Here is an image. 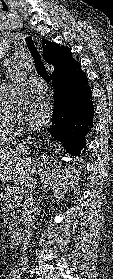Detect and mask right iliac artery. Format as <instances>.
Wrapping results in <instances>:
<instances>
[{
    "label": "right iliac artery",
    "instance_id": "1",
    "mask_svg": "<svg viewBox=\"0 0 113 279\" xmlns=\"http://www.w3.org/2000/svg\"><path fill=\"white\" fill-rule=\"evenodd\" d=\"M10 276H12L13 279H21L22 272L19 269L12 270Z\"/></svg>",
    "mask_w": 113,
    "mask_h": 279
}]
</instances>
